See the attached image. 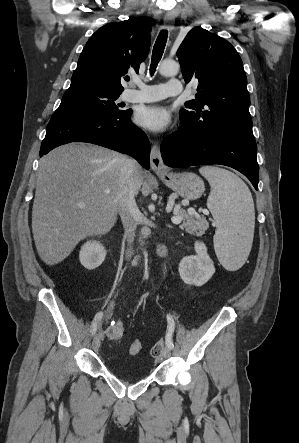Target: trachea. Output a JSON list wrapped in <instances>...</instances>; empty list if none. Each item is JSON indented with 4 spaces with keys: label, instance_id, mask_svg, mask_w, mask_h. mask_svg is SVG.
Returning <instances> with one entry per match:
<instances>
[{
    "label": "trachea",
    "instance_id": "3493384b",
    "mask_svg": "<svg viewBox=\"0 0 299 443\" xmlns=\"http://www.w3.org/2000/svg\"><path fill=\"white\" fill-rule=\"evenodd\" d=\"M168 32L167 30H161L156 42L153 47L152 52V58H151V65H150V75L152 76L154 72L156 71V67L163 55L166 42H167Z\"/></svg>",
    "mask_w": 299,
    "mask_h": 443
}]
</instances>
